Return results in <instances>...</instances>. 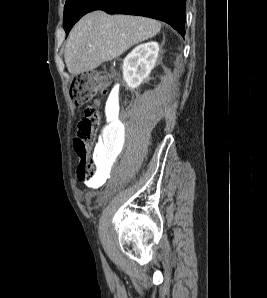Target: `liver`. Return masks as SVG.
<instances>
[{"mask_svg":"<svg viewBox=\"0 0 267 298\" xmlns=\"http://www.w3.org/2000/svg\"><path fill=\"white\" fill-rule=\"evenodd\" d=\"M160 29L158 21L145 17L88 13L69 34L64 55L67 69L73 75L92 71L154 37Z\"/></svg>","mask_w":267,"mask_h":298,"instance_id":"1","label":"liver"}]
</instances>
